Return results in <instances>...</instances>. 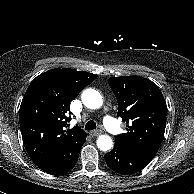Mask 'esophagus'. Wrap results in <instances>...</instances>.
<instances>
[{
    "label": "esophagus",
    "instance_id": "obj_1",
    "mask_svg": "<svg viewBox=\"0 0 194 194\" xmlns=\"http://www.w3.org/2000/svg\"><path fill=\"white\" fill-rule=\"evenodd\" d=\"M100 134H102V131L101 130H93V131L90 132V135L92 137L98 136Z\"/></svg>",
    "mask_w": 194,
    "mask_h": 194
}]
</instances>
